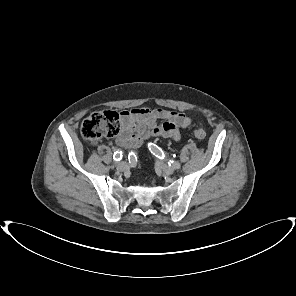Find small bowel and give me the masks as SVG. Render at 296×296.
Segmentation results:
<instances>
[{"label": "small bowel", "mask_w": 296, "mask_h": 296, "mask_svg": "<svg viewBox=\"0 0 296 296\" xmlns=\"http://www.w3.org/2000/svg\"><path fill=\"white\" fill-rule=\"evenodd\" d=\"M159 120L163 123L158 124ZM191 122L185 113L162 108H134L122 111L116 143L121 147L137 148L152 137L180 139V130Z\"/></svg>", "instance_id": "c3829d8e"}]
</instances>
